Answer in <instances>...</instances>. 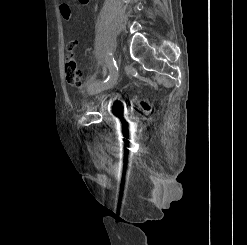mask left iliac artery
Segmentation results:
<instances>
[{
    "label": "left iliac artery",
    "mask_w": 247,
    "mask_h": 245,
    "mask_svg": "<svg viewBox=\"0 0 247 245\" xmlns=\"http://www.w3.org/2000/svg\"><path fill=\"white\" fill-rule=\"evenodd\" d=\"M106 66L108 67L109 69V76H107L103 81L101 82H98V81H92L90 82V85L92 84H101V85H105L107 84L108 82L111 81V79L113 78L114 74L118 71V66L116 64V61L112 55L111 52H108L107 53V56H106ZM106 68V67H105Z\"/></svg>",
    "instance_id": "44dca946"
}]
</instances>
